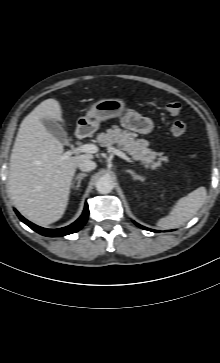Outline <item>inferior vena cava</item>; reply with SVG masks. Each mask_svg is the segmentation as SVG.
Segmentation results:
<instances>
[{
  "label": "inferior vena cava",
  "mask_w": 220,
  "mask_h": 363,
  "mask_svg": "<svg viewBox=\"0 0 220 363\" xmlns=\"http://www.w3.org/2000/svg\"><path fill=\"white\" fill-rule=\"evenodd\" d=\"M78 168L83 172H89L96 168V163L90 159H83L78 163Z\"/></svg>",
  "instance_id": "obj_1"
}]
</instances>
